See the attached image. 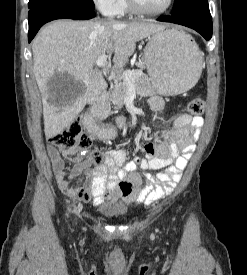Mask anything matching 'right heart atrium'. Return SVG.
<instances>
[{"instance_id":"obj_1","label":"right heart atrium","mask_w":247,"mask_h":275,"mask_svg":"<svg viewBox=\"0 0 247 275\" xmlns=\"http://www.w3.org/2000/svg\"><path fill=\"white\" fill-rule=\"evenodd\" d=\"M95 6L107 16L117 14L120 0H93Z\"/></svg>"}]
</instances>
